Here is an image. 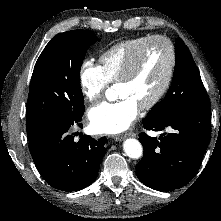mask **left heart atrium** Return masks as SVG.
Listing matches in <instances>:
<instances>
[{"mask_svg":"<svg viewBox=\"0 0 221 221\" xmlns=\"http://www.w3.org/2000/svg\"><path fill=\"white\" fill-rule=\"evenodd\" d=\"M139 108L130 97H121L112 103L103 102L90 109V123L99 133L117 134L131 126L138 116Z\"/></svg>","mask_w":221,"mask_h":221,"instance_id":"obj_1","label":"left heart atrium"}]
</instances>
